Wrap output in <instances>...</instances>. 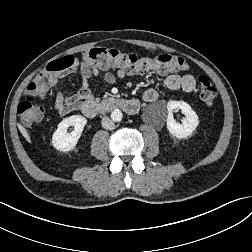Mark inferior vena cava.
<instances>
[{"label": "inferior vena cava", "mask_w": 252, "mask_h": 252, "mask_svg": "<svg viewBox=\"0 0 252 252\" xmlns=\"http://www.w3.org/2000/svg\"><path fill=\"white\" fill-rule=\"evenodd\" d=\"M101 124H102V127L106 130L115 129V124L113 120H111L109 117H103Z\"/></svg>", "instance_id": "1"}]
</instances>
